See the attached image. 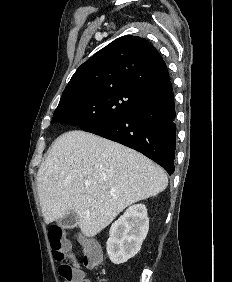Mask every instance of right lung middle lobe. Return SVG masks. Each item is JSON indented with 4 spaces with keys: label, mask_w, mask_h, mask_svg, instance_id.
Segmentation results:
<instances>
[{
    "label": "right lung middle lobe",
    "mask_w": 232,
    "mask_h": 282,
    "mask_svg": "<svg viewBox=\"0 0 232 282\" xmlns=\"http://www.w3.org/2000/svg\"><path fill=\"white\" fill-rule=\"evenodd\" d=\"M147 98L128 89H110L60 101L51 124L77 125L81 129L110 122L137 110Z\"/></svg>",
    "instance_id": "dd1d6c3e"
}]
</instances>
